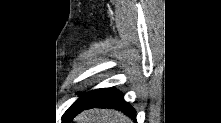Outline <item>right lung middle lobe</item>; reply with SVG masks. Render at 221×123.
Returning a JSON list of instances; mask_svg holds the SVG:
<instances>
[{
  "instance_id": "obj_1",
  "label": "right lung middle lobe",
  "mask_w": 221,
  "mask_h": 123,
  "mask_svg": "<svg viewBox=\"0 0 221 123\" xmlns=\"http://www.w3.org/2000/svg\"><path fill=\"white\" fill-rule=\"evenodd\" d=\"M95 91H90L82 96L66 111L65 115L70 117H75L81 111H83L84 107L87 106L92 98Z\"/></svg>"
}]
</instances>
